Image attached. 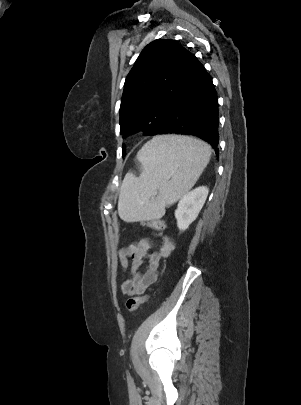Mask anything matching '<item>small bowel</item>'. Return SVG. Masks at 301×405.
I'll return each instance as SVG.
<instances>
[{
  "instance_id": "c3829d8e",
  "label": "small bowel",
  "mask_w": 301,
  "mask_h": 405,
  "mask_svg": "<svg viewBox=\"0 0 301 405\" xmlns=\"http://www.w3.org/2000/svg\"><path fill=\"white\" fill-rule=\"evenodd\" d=\"M150 248L149 239L142 238L119 251L121 262L128 268L127 279L120 288L122 294H143L157 280L160 261L170 256L174 243L168 236H162L159 249L151 252ZM145 262L146 270L142 273Z\"/></svg>"
}]
</instances>
